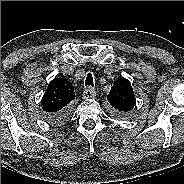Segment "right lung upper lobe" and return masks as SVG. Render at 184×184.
Masks as SVG:
<instances>
[{"label":"right lung upper lobe","instance_id":"right-lung-upper-lobe-1","mask_svg":"<svg viewBox=\"0 0 184 184\" xmlns=\"http://www.w3.org/2000/svg\"><path fill=\"white\" fill-rule=\"evenodd\" d=\"M75 98L71 82L64 78L52 80L42 99V109L47 115L60 113L67 109V105Z\"/></svg>","mask_w":184,"mask_h":184}]
</instances>
